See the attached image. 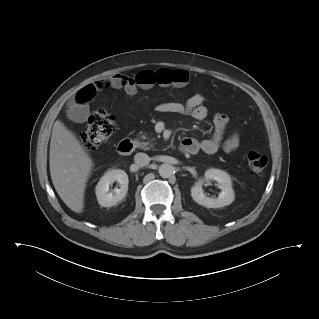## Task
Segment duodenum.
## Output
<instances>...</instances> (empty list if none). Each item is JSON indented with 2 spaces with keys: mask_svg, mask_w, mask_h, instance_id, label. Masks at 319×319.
<instances>
[{
  "mask_svg": "<svg viewBox=\"0 0 319 319\" xmlns=\"http://www.w3.org/2000/svg\"><path fill=\"white\" fill-rule=\"evenodd\" d=\"M133 148L134 144L133 141L130 139H124L118 144V152L122 155L129 154L133 150ZM180 150L183 153H189V148L186 143L181 144Z\"/></svg>",
  "mask_w": 319,
  "mask_h": 319,
  "instance_id": "1",
  "label": "duodenum"
}]
</instances>
